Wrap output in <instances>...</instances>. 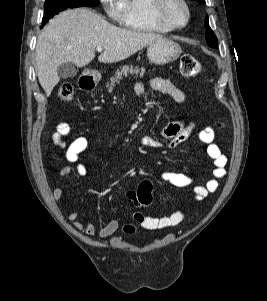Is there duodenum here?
<instances>
[{"mask_svg":"<svg viewBox=\"0 0 267 301\" xmlns=\"http://www.w3.org/2000/svg\"><path fill=\"white\" fill-rule=\"evenodd\" d=\"M97 83V77L93 74H84L81 77V87L83 89H92Z\"/></svg>","mask_w":267,"mask_h":301,"instance_id":"410a0bca","label":"duodenum"}]
</instances>
